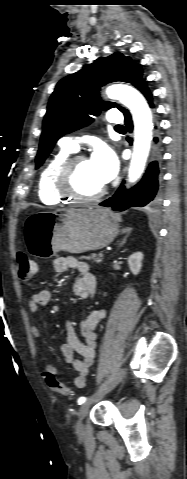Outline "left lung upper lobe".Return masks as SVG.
Returning <instances> with one entry per match:
<instances>
[{"label":"left lung upper lobe","instance_id":"5c2ea615","mask_svg":"<svg viewBox=\"0 0 187 479\" xmlns=\"http://www.w3.org/2000/svg\"><path fill=\"white\" fill-rule=\"evenodd\" d=\"M142 80V68L138 63L121 53H114L59 81L44 117L36 168L43 164L61 136L90 124L91 115L97 116L100 111L116 106L99 98L102 85L122 81L137 88ZM118 109L125 110L121 106Z\"/></svg>","mask_w":187,"mask_h":479}]
</instances>
